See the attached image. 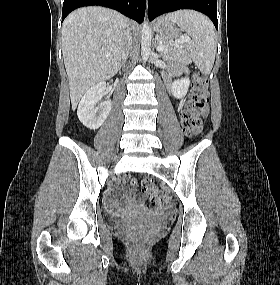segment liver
<instances>
[{"mask_svg":"<svg viewBox=\"0 0 280 285\" xmlns=\"http://www.w3.org/2000/svg\"><path fill=\"white\" fill-rule=\"evenodd\" d=\"M129 27L135 24L117 11L102 7L80 8L66 17L62 53L73 110L90 87L118 72Z\"/></svg>","mask_w":280,"mask_h":285,"instance_id":"liver-1","label":"liver"}]
</instances>
